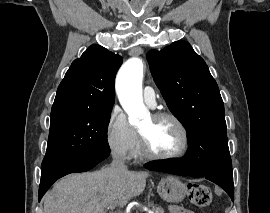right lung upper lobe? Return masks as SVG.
I'll return each instance as SVG.
<instances>
[{
	"label": "right lung upper lobe",
	"instance_id": "1",
	"mask_svg": "<svg viewBox=\"0 0 270 213\" xmlns=\"http://www.w3.org/2000/svg\"><path fill=\"white\" fill-rule=\"evenodd\" d=\"M121 64L120 55L100 45H91L66 72L51 112L111 110L115 98V76Z\"/></svg>",
	"mask_w": 270,
	"mask_h": 213
}]
</instances>
